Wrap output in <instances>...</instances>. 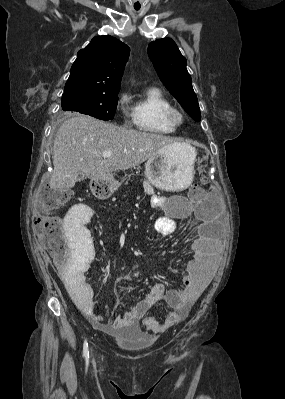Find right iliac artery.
I'll use <instances>...</instances> for the list:
<instances>
[{"instance_id": "82829eb1", "label": "right iliac artery", "mask_w": 285, "mask_h": 399, "mask_svg": "<svg viewBox=\"0 0 285 399\" xmlns=\"http://www.w3.org/2000/svg\"><path fill=\"white\" fill-rule=\"evenodd\" d=\"M83 356H84V358L86 360L89 359V350H88V342H87V340H85L84 344H83Z\"/></svg>"}]
</instances>
